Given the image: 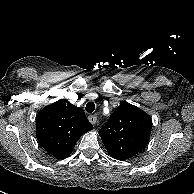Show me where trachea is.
Instances as JSON below:
<instances>
[{"label": "trachea", "mask_w": 194, "mask_h": 194, "mask_svg": "<svg viewBox=\"0 0 194 194\" xmlns=\"http://www.w3.org/2000/svg\"><path fill=\"white\" fill-rule=\"evenodd\" d=\"M85 109H86V111L88 113H92L95 110V104H94V102L87 103Z\"/></svg>", "instance_id": "trachea-1"}]
</instances>
